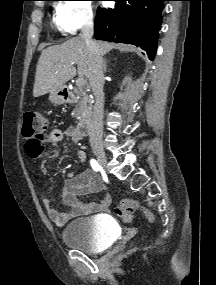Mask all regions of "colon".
<instances>
[{
	"instance_id": "colon-1",
	"label": "colon",
	"mask_w": 216,
	"mask_h": 285,
	"mask_svg": "<svg viewBox=\"0 0 216 285\" xmlns=\"http://www.w3.org/2000/svg\"><path fill=\"white\" fill-rule=\"evenodd\" d=\"M47 129L48 120L42 113L36 111L25 113L22 135L26 139V151L30 157H38L42 153ZM136 210L141 211L149 221L154 220V215L149 209L130 198L121 200L115 207L114 213L124 222L130 223Z\"/></svg>"
}]
</instances>
